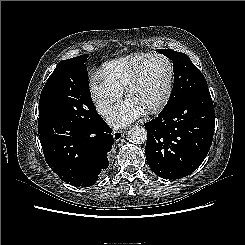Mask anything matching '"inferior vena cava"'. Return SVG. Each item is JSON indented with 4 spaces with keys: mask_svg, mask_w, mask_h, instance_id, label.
Returning a JSON list of instances; mask_svg holds the SVG:
<instances>
[{
    "mask_svg": "<svg viewBox=\"0 0 245 245\" xmlns=\"http://www.w3.org/2000/svg\"><path fill=\"white\" fill-rule=\"evenodd\" d=\"M109 106H110L109 102L106 101L96 102V109L102 115L106 112Z\"/></svg>",
    "mask_w": 245,
    "mask_h": 245,
    "instance_id": "602c4592",
    "label": "inferior vena cava"
}]
</instances>
